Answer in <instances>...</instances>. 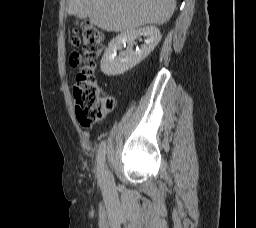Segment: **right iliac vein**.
Listing matches in <instances>:
<instances>
[{"instance_id":"obj_1","label":"right iliac vein","mask_w":256,"mask_h":228,"mask_svg":"<svg viewBox=\"0 0 256 228\" xmlns=\"http://www.w3.org/2000/svg\"><path fill=\"white\" fill-rule=\"evenodd\" d=\"M105 180H106L107 185H108L109 187L113 186L114 181H113L112 176H111L109 173H105Z\"/></svg>"}]
</instances>
